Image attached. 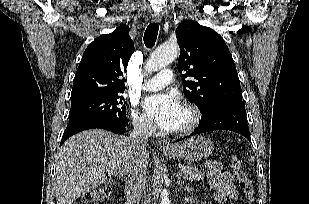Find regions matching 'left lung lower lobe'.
<instances>
[{"label":"left lung lower lobe","mask_w":309,"mask_h":204,"mask_svg":"<svg viewBox=\"0 0 309 204\" xmlns=\"http://www.w3.org/2000/svg\"><path fill=\"white\" fill-rule=\"evenodd\" d=\"M221 129L231 130L242 134L251 141L244 102H228L220 104L202 114L200 125L191 135ZM179 140L181 139H178L177 141Z\"/></svg>","instance_id":"0a47b994"}]
</instances>
